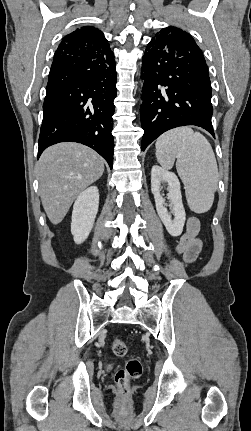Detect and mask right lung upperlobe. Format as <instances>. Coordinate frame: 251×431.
I'll use <instances>...</instances> for the list:
<instances>
[{
  "instance_id": "1",
  "label": "right lung upper lobe",
  "mask_w": 251,
  "mask_h": 431,
  "mask_svg": "<svg viewBox=\"0 0 251 431\" xmlns=\"http://www.w3.org/2000/svg\"><path fill=\"white\" fill-rule=\"evenodd\" d=\"M89 48L106 58L114 56L104 34L97 28L90 26L81 27L66 35L57 50L66 54H75Z\"/></svg>"
}]
</instances>
